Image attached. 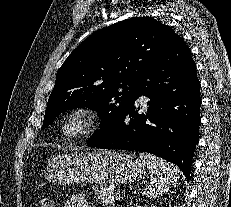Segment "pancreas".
Here are the masks:
<instances>
[{
  "instance_id": "1",
  "label": "pancreas",
  "mask_w": 231,
  "mask_h": 207,
  "mask_svg": "<svg viewBox=\"0 0 231 207\" xmlns=\"http://www.w3.org/2000/svg\"><path fill=\"white\" fill-rule=\"evenodd\" d=\"M94 194L104 205L113 204L117 200V191L103 186L94 188Z\"/></svg>"
}]
</instances>
